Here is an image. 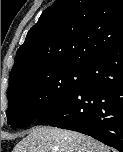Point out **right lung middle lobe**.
<instances>
[{
    "label": "right lung middle lobe",
    "instance_id": "right-lung-middle-lobe-1",
    "mask_svg": "<svg viewBox=\"0 0 123 152\" xmlns=\"http://www.w3.org/2000/svg\"><path fill=\"white\" fill-rule=\"evenodd\" d=\"M83 69L63 67L21 78L8 92L7 121L28 126L61 106L80 86Z\"/></svg>",
    "mask_w": 123,
    "mask_h": 152
}]
</instances>
